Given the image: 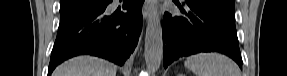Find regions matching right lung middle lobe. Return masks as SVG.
Wrapping results in <instances>:
<instances>
[{"label":"right lung middle lobe","instance_id":"right-lung-middle-lobe-1","mask_svg":"<svg viewBox=\"0 0 287 76\" xmlns=\"http://www.w3.org/2000/svg\"><path fill=\"white\" fill-rule=\"evenodd\" d=\"M61 21L69 19L96 4V0H61Z\"/></svg>","mask_w":287,"mask_h":76}]
</instances>
